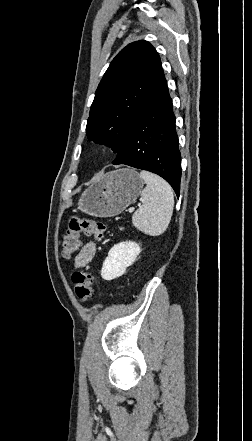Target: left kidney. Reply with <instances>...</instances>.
<instances>
[{
  "mask_svg": "<svg viewBox=\"0 0 252 441\" xmlns=\"http://www.w3.org/2000/svg\"><path fill=\"white\" fill-rule=\"evenodd\" d=\"M140 252L139 244L132 241L120 242L114 245L103 262L102 278L110 281L122 276L127 267L134 263Z\"/></svg>",
  "mask_w": 252,
  "mask_h": 441,
  "instance_id": "5707ae66",
  "label": "left kidney"
}]
</instances>
